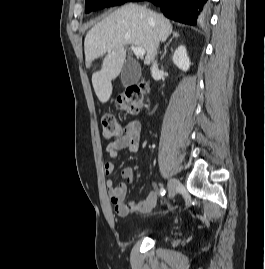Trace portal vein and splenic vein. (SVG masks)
I'll use <instances>...</instances> for the list:
<instances>
[{"label":"portal vein and splenic vein","mask_w":265,"mask_h":269,"mask_svg":"<svg viewBox=\"0 0 265 269\" xmlns=\"http://www.w3.org/2000/svg\"><path fill=\"white\" fill-rule=\"evenodd\" d=\"M131 50L137 57H144L146 53V51L141 47L131 46Z\"/></svg>","instance_id":"1"}]
</instances>
